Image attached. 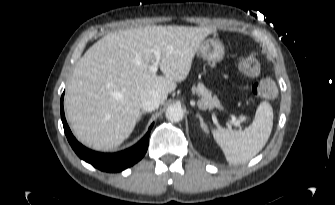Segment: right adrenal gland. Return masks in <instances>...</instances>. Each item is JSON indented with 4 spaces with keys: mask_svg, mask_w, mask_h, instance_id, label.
I'll list each match as a JSON object with an SVG mask.
<instances>
[{
    "mask_svg": "<svg viewBox=\"0 0 335 205\" xmlns=\"http://www.w3.org/2000/svg\"><path fill=\"white\" fill-rule=\"evenodd\" d=\"M145 113H146L145 111H141V112H140L138 121L141 119V116H142L143 114H145Z\"/></svg>",
    "mask_w": 335,
    "mask_h": 205,
    "instance_id": "1",
    "label": "right adrenal gland"
}]
</instances>
